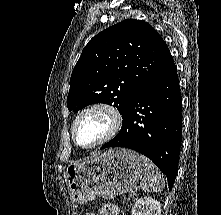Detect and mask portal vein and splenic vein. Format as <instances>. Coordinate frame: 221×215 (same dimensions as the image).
I'll return each mask as SVG.
<instances>
[{
    "mask_svg": "<svg viewBox=\"0 0 221 215\" xmlns=\"http://www.w3.org/2000/svg\"><path fill=\"white\" fill-rule=\"evenodd\" d=\"M132 195H136V192H132Z\"/></svg>",
    "mask_w": 221,
    "mask_h": 215,
    "instance_id": "portal-vein-and-splenic-vein-1",
    "label": "portal vein and splenic vein"
}]
</instances>
